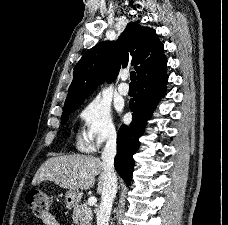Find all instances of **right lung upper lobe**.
<instances>
[{
    "label": "right lung upper lobe",
    "instance_id": "cb5924a9",
    "mask_svg": "<svg viewBox=\"0 0 228 225\" xmlns=\"http://www.w3.org/2000/svg\"><path fill=\"white\" fill-rule=\"evenodd\" d=\"M154 29L130 22L117 41H104L88 50L76 64L65 106L82 103L102 81L113 82L130 62L138 74L163 55Z\"/></svg>",
    "mask_w": 228,
    "mask_h": 225
}]
</instances>
